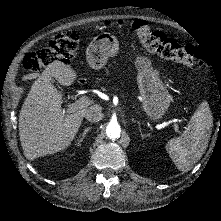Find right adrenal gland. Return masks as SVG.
<instances>
[{
    "mask_svg": "<svg viewBox=\"0 0 221 221\" xmlns=\"http://www.w3.org/2000/svg\"><path fill=\"white\" fill-rule=\"evenodd\" d=\"M91 130V126L86 127L85 129H83V131L76 136L75 139L79 140V142L77 143V146H80V144L82 143L83 139L86 137L87 133Z\"/></svg>",
    "mask_w": 221,
    "mask_h": 221,
    "instance_id": "obj_1",
    "label": "right adrenal gland"
}]
</instances>
